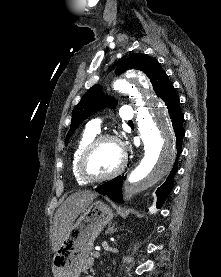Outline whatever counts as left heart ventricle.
<instances>
[{
	"mask_svg": "<svg viewBox=\"0 0 221 277\" xmlns=\"http://www.w3.org/2000/svg\"><path fill=\"white\" fill-rule=\"evenodd\" d=\"M119 147L110 141L100 144L89 156L86 171L92 176H102L112 172L120 163Z\"/></svg>",
	"mask_w": 221,
	"mask_h": 277,
	"instance_id": "left-heart-ventricle-1",
	"label": "left heart ventricle"
}]
</instances>
